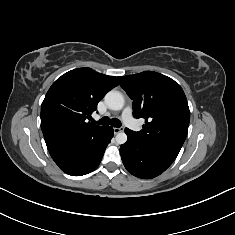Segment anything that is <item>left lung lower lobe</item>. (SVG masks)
<instances>
[{
    "mask_svg": "<svg viewBox=\"0 0 235 235\" xmlns=\"http://www.w3.org/2000/svg\"><path fill=\"white\" fill-rule=\"evenodd\" d=\"M128 140L120 146L125 168L134 176L150 179L164 172L176 159L177 154L148 144L125 129Z\"/></svg>",
    "mask_w": 235,
    "mask_h": 235,
    "instance_id": "obj_1",
    "label": "left lung lower lobe"
}]
</instances>
